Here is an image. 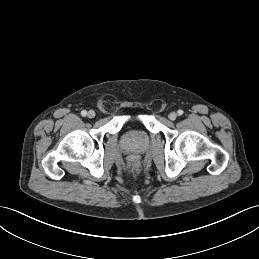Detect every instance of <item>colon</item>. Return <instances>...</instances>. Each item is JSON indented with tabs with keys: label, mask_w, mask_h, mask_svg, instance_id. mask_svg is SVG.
Listing matches in <instances>:
<instances>
[{
	"label": "colon",
	"mask_w": 259,
	"mask_h": 259,
	"mask_svg": "<svg viewBox=\"0 0 259 259\" xmlns=\"http://www.w3.org/2000/svg\"><path fill=\"white\" fill-rule=\"evenodd\" d=\"M130 164L133 166V167H136L138 166L139 162H138V159L136 157H133L130 159Z\"/></svg>",
	"instance_id": "5ec220e1"
}]
</instances>
